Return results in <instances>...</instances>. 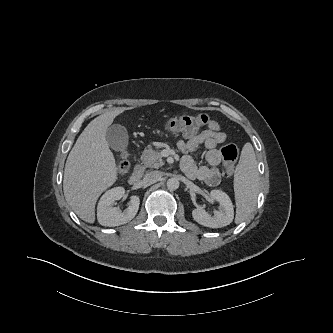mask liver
Wrapping results in <instances>:
<instances>
[{"label":"liver","instance_id":"obj_1","mask_svg":"<svg viewBox=\"0 0 333 333\" xmlns=\"http://www.w3.org/2000/svg\"><path fill=\"white\" fill-rule=\"evenodd\" d=\"M124 110L115 108L93 119L78 137L65 164V199L87 223H94L99 196L117 180L116 161L109 149L106 132Z\"/></svg>","mask_w":333,"mask_h":333}]
</instances>
